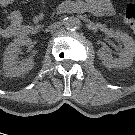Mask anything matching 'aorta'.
Here are the masks:
<instances>
[{"instance_id":"obj_1","label":"aorta","mask_w":135,"mask_h":135,"mask_svg":"<svg viewBox=\"0 0 135 135\" xmlns=\"http://www.w3.org/2000/svg\"><path fill=\"white\" fill-rule=\"evenodd\" d=\"M64 25L68 30H76L80 26V20L77 17L71 16L66 18Z\"/></svg>"}]
</instances>
